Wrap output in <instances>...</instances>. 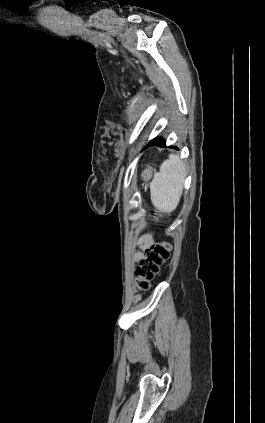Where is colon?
Segmentation results:
<instances>
[{
    "mask_svg": "<svg viewBox=\"0 0 265 423\" xmlns=\"http://www.w3.org/2000/svg\"><path fill=\"white\" fill-rule=\"evenodd\" d=\"M171 252L172 247L166 241L155 242L145 249L135 270L138 289L143 291L149 289L151 281L159 272L161 265L170 258Z\"/></svg>",
    "mask_w": 265,
    "mask_h": 423,
    "instance_id": "obj_1",
    "label": "colon"
}]
</instances>
